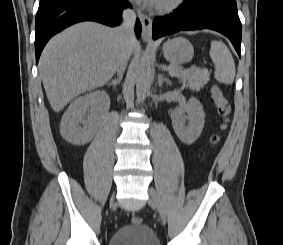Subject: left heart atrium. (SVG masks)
<instances>
[{"label":"left heart atrium","instance_id":"39dd6f15","mask_svg":"<svg viewBox=\"0 0 283 245\" xmlns=\"http://www.w3.org/2000/svg\"><path fill=\"white\" fill-rule=\"evenodd\" d=\"M137 1L145 2V3H155L158 0H137Z\"/></svg>","mask_w":283,"mask_h":245}]
</instances>
